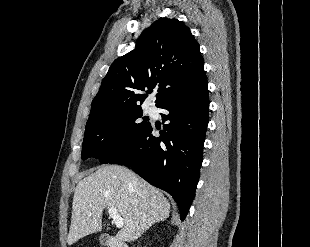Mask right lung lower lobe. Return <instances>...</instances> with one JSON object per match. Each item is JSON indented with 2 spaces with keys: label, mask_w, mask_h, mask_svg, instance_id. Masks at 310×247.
<instances>
[{
  "label": "right lung lower lobe",
  "mask_w": 310,
  "mask_h": 247,
  "mask_svg": "<svg viewBox=\"0 0 310 247\" xmlns=\"http://www.w3.org/2000/svg\"><path fill=\"white\" fill-rule=\"evenodd\" d=\"M208 82L176 95L159 108L163 130L154 136L149 127L134 145L115 157L110 164L127 165L147 182L168 192L180 210L183 221L195 195L203 160V144L208 124Z\"/></svg>",
  "instance_id": "obj_1"
}]
</instances>
